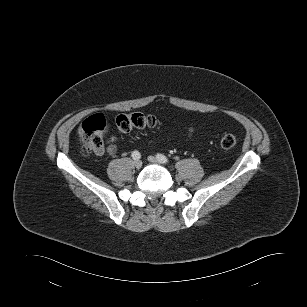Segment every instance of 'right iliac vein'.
Masks as SVG:
<instances>
[{"instance_id":"obj_1","label":"right iliac vein","mask_w":307,"mask_h":307,"mask_svg":"<svg viewBox=\"0 0 307 307\" xmlns=\"http://www.w3.org/2000/svg\"><path fill=\"white\" fill-rule=\"evenodd\" d=\"M133 164L135 168L139 169L142 166V161L138 159V160H135Z\"/></svg>"}]
</instances>
